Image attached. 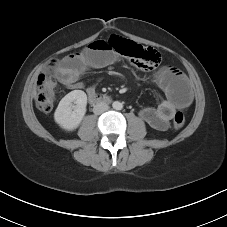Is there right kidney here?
<instances>
[{
	"label": "right kidney",
	"mask_w": 227,
	"mask_h": 227,
	"mask_svg": "<svg viewBox=\"0 0 227 227\" xmlns=\"http://www.w3.org/2000/svg\"><path fill=\"white\" fill-rule=\"evenodd\" d=\"M87 95L82 90H74L63 97L54 113V120L67 131L76 129L86 113Z\"/></svg>",
	"instance_id": "ca27d5eb"
}]
</instances>
